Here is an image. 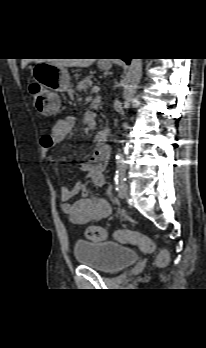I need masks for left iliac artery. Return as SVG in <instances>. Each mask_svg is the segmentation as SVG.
Wrapping results in <instances>:
<instances>
[{"mask_svg": "<svg viewBox=\"0 0 206 348\" xmlns=\"http://www.w3.org/2000/svg\"><path fill=\"white\" fill-rule=\"evenodd\" d=\"M115 189L119 190V188L125 183L126 181V175H125V170L121 167H119L116 172H115Z\"/></svg>", "mask_w": 206, "mask_h": 348, "instance_id": "left-iliac-artery-1", "label": "left iliac artery"}]
</instances>
